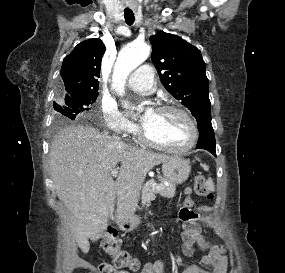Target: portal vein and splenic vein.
Instances as JSON below:
<instances>
[{
  "label": "portal vein and splenic vein",
  "mask_w": 285,
  "mask_h": 273,
  "mask_svg": "<svg viewBox=\"0 0 285 273\" xmlns=\"http://www.w3.org/2000/svg\"><path fill=\"white\" fill-rule=\"evenodd\" d=\"M118 173H119L118 169H113L111 171V176L116 177ZM154 188H156L157 190H162V187L160 185H156Z\"/></svg>",
  "instance_id": "18ae733b"
}]
</instances>
